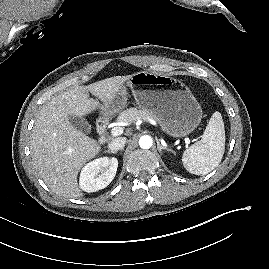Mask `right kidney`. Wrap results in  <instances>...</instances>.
Masks as SVG:
<instances>
[{
    "mask_svg": "<svg viewBox=\"0 0 269 269\" xmlns=\"http://www.w3.org/2000/svg\"><path fill=\"white\" fill-rule=\"evenodd\" d=\"M118 168L115 157H101L86 164L80 173V188L96 192L107 187L114 179Z\"/></svg>",
    "mask_w": 269,
    "mask_h": 269,
    "instance_id": "right-kidney-1",
    "label": "right kidney"
}]
</instances>
